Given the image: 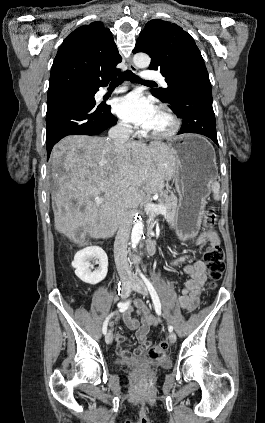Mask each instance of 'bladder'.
<instances>
[{
	"instance_id": "1",
	"label": "bladder",
	"mask_w": 265,
	"mask_h": 423,
	"mask_svg": "<svg viewBox=\"0 0 265 423\" xmlns=\"http://www.w3.org/2000/svg\"><path fill=\"white\" fill-rule=\"evenodd\" d=\"M118 364L121 365V366H126V365H129V362L126 361V360H119Z\"/></svg>"
}]
</instances>
